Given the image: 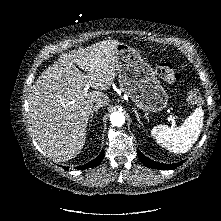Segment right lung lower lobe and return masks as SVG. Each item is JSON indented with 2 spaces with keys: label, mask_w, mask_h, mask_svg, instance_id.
I'll list each match as a JSON object with an SVG mask.
<instances>
[{
  "label": "right lung lower lobe",
  "mask_w": 221,
  "mask_h": 221,
  "mask_svg": "<svg viewBox=\"0 0 221 221\" xmlns=\"http://www.w3.org/2000/svg\"><path fill=\"white\" fill-rule=\"evenodd\" d=\"M103 157H104V151H102V152L99 154V156H98L97 158H95L93 161H91L90 163L85 164V165H83V166H78L77 168L84 170V169H88V168L94 167V166L98 165V164L101 162V160L103 159ZM64 168H65L66 170L69 169V167H64Z\"/></svg>",
  "instance_id": "98d812e1"
}]
</instances>
